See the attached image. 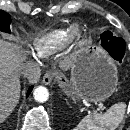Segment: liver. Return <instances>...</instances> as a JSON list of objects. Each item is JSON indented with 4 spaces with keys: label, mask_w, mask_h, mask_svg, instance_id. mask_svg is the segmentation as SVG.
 Returning <instances> with one entry per match:
<instances>
[{
    "label": "liver",
    "mask_w": 130,
    "mask_h": 130,
    "mask_svg": "<svg viewBox=\"0 0 130 130\" xmlns=\"http://www.w3.org/2000/svg\"><path fill=\"white\" fill-rule=\"evenodd\" d=\"M23 61L24 57L16 47L0 39V123L18 103L21 90L19 73Z\"/></svg>",
    "instance_id": "1"
}]
</instances>
